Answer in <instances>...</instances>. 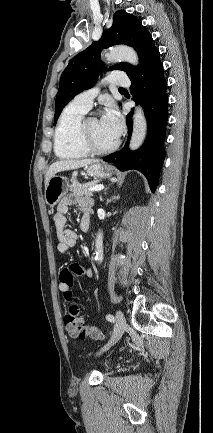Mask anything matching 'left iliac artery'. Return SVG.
<instances>
[{"label": "left iliac artery", "instance_id": "obj_1", "mask_svg": "<svg viewBox=\"0 0 213 433\" xmlns=\"http://www.w3.org/2000/svg\"><path fill=\"white\" fill-rule=\"evenodd\" d=\"M106 319H107L108 321H110V322H114V321H115L114 316L111 315V314H108V315L106 316Z\"/></svg>", "mask_w": 213, "mask_h": 433}]
</instances>
